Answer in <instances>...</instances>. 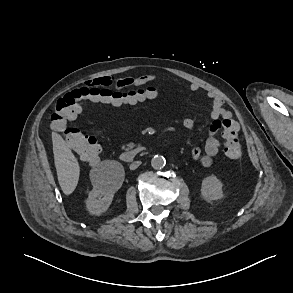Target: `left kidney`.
I'll list each match as a JSON object with an SVG mask.
<instances>
[{
    "label": "left kidney",
    "instance_id": "5707ae66",
    "mask_svg": "<svg viewBox=\"0 0 293 293\" xmlns=\"http://www.w3.org/2000/svg\"><path fill=\"white\" fill-rule=\"evenodd\" d=\"M201 195L206 201L222 199L224 197L222 182L215 176L204 178L201 185Z\"/></svg>",
    "mask_w": 293,
    "mask_h": 293
}]
</instances>
